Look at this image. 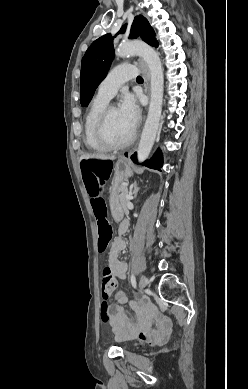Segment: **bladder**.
<instances>
[{
  "mask_svg": "<svg viewBox=\"0 0 248 389\" xmlns=\"http://www.w3.org/2000/svg\"><path fill=\"white\" fill-rule=\"evenodd\" d=\"M123 349H127V346H122Z\"/></svg>",
  "mask_w": 248,
  "mask_h": 389,
  "instance_id": "31cf9c89",
  "label": "bladder"
}]
</instances>
